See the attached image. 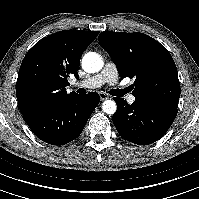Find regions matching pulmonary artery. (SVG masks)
Returning a JSON list of instances; mask_svg holds the SVG:
<instances>
[{
    "mask_svg": "<svg viewBox=\"0 0 199 199\" xmlns=\"http://www.w3.org/2000/svg\"><path fill=\"white\" fill-rule=\"evenodd\" d=\"M118 81V72L113 63H106L101 72L85 79L73 83L74 87L93 89L103 86L104 84L116 85ZM128 103L132 104L136 101V97L132 94L127 96Z\"/></svg>",
    "mask_w": 199,
    "mask_h": 199,
    "instance_id": "1",
    "label": "pulmonary artery"
}]
</instances>
